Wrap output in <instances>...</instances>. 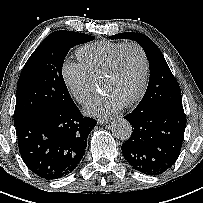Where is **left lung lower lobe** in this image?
<instances>
[{
  "instance_id": "1",
  "label": "left lung lower lobe",
  "mask_w": 203,
  "mask_h": 203,
  "mask_svg": "<svg viewBox=\"0 0 203 203\" xmlns=\"http://www.w3.org/2000/svg\"><path fill=\"white\" fill-rule=\"evenodd\" d=\"M124 118L133 129L122 145L128 163L147 175H160L172 167L180 154L186 128L183 106L135 108Z\"/></svg>"
}]
</instances>
